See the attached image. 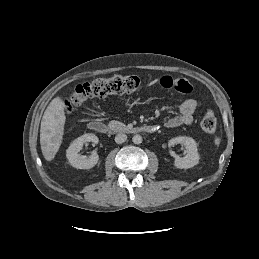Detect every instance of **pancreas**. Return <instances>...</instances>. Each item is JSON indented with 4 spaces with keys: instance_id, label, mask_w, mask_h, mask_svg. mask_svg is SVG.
Masks as SVG:
<instances>
[{
    "instance_id": "pancreas-1",
    "label": "pancreas",
    "mask_w": 259,
    "mask_h": 259,
    "mask_svg": "<svg viewBox=\"0 0 259 259\" xmlns=\"http://www.w3.org/2000/svg\"><path fill=\"white\" fill-rule=\"evenodd\" d=\"M108 126L113 131L127 130V126L125 124H123L122 122H119V121H115V120L110 121Z\"/></svg>"
}]
</instances>
